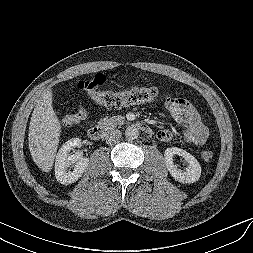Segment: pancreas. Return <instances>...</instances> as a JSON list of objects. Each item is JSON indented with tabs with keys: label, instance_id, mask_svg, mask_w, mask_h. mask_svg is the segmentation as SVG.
Returning <instances> with one entry per match:
<instances>
[{
	"label": "pancreas",
	"instance_id": "1",
	"mask_svg": "<svg viewBox=\"0 0 253 253\" xmlns=\"http://www.w3.org/2000/svg\"><path fill=\"white\" fill-rule=\"evenodd\" d=\"M121 123H123V117L121 116L106 117L98 122V124L104 128L115 127Z\"/></svg>",
	"mask_w": 253,
	"mask_h": 253
}]
</instances>
